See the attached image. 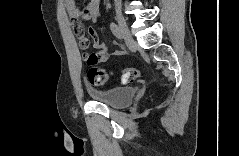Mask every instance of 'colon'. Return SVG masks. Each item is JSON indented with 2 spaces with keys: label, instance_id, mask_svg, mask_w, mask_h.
<instances>
[{
  "label": "colon",
  "instance_id": "1",
  "mask_svg": "<svg viewBox=\"0 0 239 156\" xmlns=\"http://www.w3.org/2000/svg\"><path fill=\"white\" fill-rule=\"evenodd\" d=\"M84 17V13L81 12L79 14V18ZM118 74L119 79L122 83H129L136 79H138L141 75V72L138 68L130 67L123 71L116 72L113 70L107 71L105 69L91 66L88 71V80L91 84H102L104 83L109 77Z\"/></svg>",
  "mask_w": 239,
  "mask_h": 156
}]
</instances>
